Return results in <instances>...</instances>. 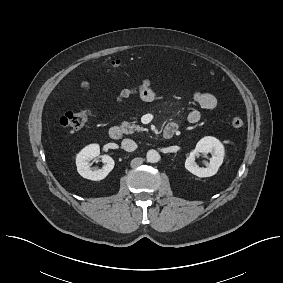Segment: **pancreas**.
Wrapping results in <instances>:
<instances>
[{"label": "pancreas", "mask_w": 283, "mask_h": 283, "mask_svg": "<svg viewBox=\"0 0 283 283\" xmlns=\"http://www.w3.org/2000/svg\"><path fill=\"white\" fill-rule=\"evenodd\" d=\"M121 128L125 134H132L134 131H144L145 129L143 127H140L139 125H135L133 123H129L127 121H124L121 125Z\"/></svg>", "instance_id": "obj_1"}]
</instances>
